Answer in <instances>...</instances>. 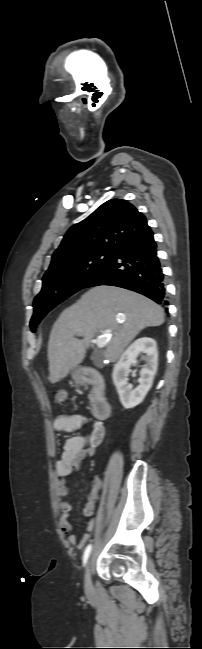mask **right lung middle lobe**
<instances>
[{
	"mask_svg": "<svg viewBox=\"0 0 202 649\" xmlns=\"http://www.w3.org/2000/svg\"><path fill=\"white\" fill-rule=\"evenodd\" d=\"M114 253L107 251L83 253L64 261L57 268L46 273L43 276L42 290L33 302L31 331L35 332L39 322L56 305L81 290L113 257Z\"/></svg>",
	"mask_w": 202,
	"mask_h": 649,
	"instance_id": "dd1d6c3e",
	"label": "right lung middle lobe"
}]
</instances>
